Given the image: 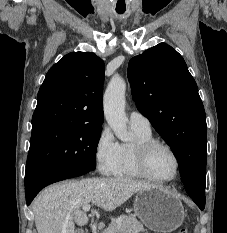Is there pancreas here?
<instances>
[{"label": "pancreas", "mask_w": 227, "mask_h": 233, "mask_svg": "<svg viewBox=\"0 0 227 233\" xmlns=\"http://www.w3.org/2000/svg\"><path fill=\"white\" fill-rule=\"evenodd\" d=\"M143 224L135 216H125L119 223H112L100 233H140L144 231Z\"/></svg>", "instance_id": "1"}]
</instances>
